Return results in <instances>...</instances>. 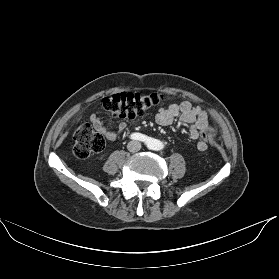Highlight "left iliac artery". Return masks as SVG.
I'll return each instance as SVG.
<instances>
[{
    "label": "left iliac artery",
    "instance_id": "44dca946",
    "mask_svg": "<svg viewBox=\"0 0 279 279\" xmlns=\"http://www.w3.org/2000/svg\"><path fill=\"white\" fill-rule=\"evenodd\" d=\"M146 144H147L148 147H150L152 149H156V144H155L153 139L147 138Z\"/></svg>",
    "mask_w": 279,
    "mask_h": 279
}]
</instances>
